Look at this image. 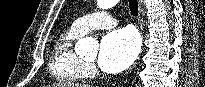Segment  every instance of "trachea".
<instances>
[{"mask_svg":"<svg viewBox=\"0 0 205 87\" xmlns=\"http://www.w3.org/2000/svg\"><path fill=\"white\" fill-rule=\"evenodd\" d=\"M129 8H130L131 14L133 16L138 15V2H137V0H129Z\"/></svg>","mask_w":205,"mask_h":87,"instance_id":"1","label":"trachea"}]
</instances>
